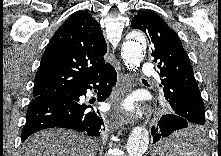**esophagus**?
Masks as SVG:
<instances>
[{"mask_svg":"<svg viewBox=\"0 0 221 156\" xmlns=\"http://www.w3.org/2000/svg\"><path fill=\"white\" fill-rule=\"evenodd\" d=\"M118 82H119V88H118V97L126 95L130 90L132 86V78L131 76L126 72H120L118 74ZM127 122L126 117L122 115L121 113H115L113 125L116 127L123 126Z\"/></svg>","mask_w":221,"mask_h":156,"instance_id":"obj_1","label":"esophagus"}]
</instances>
